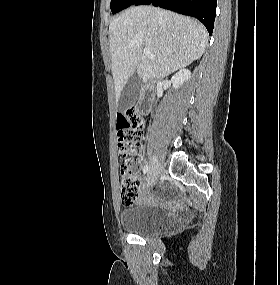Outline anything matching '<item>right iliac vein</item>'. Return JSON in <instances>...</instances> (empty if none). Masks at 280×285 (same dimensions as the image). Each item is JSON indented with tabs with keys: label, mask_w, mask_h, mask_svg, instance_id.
Listing matches in <instances>:
<instances>
[{
	"label": "right iliac vein",
	"mask_w": 280,
	"mask_h": 285,
	"mask_svg": "<svg viewBox=\"0 0 280 285\" xmlns=\"http://www.w3.org/2000/svg\"><path fill=\"white\" fill-rule=\"evenodd\" d=\"M161 171H162V167L159 161L156 158H154L150 164L149 172H148L147 179H146L147 183L149 185L154 184L157 181L158 176Z\"/></svg>",
	"instance_id": "right-iliac-vein-1"
}]
</instances>
